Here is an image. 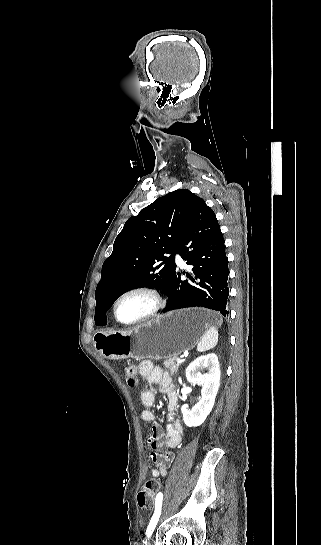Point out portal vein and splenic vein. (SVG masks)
<instances>
[{"mask_svg": "<svg viewBox=\"0 0 321 545\" xmlns=\"http://www.w3.org/2000/svg\"><path fill=\"white\" fill-rule=\"evenodd\" d=\"M184 358V355H179V358H176V361H181Z\"/></svg>", "mask_w": 321, "mask_h": 545, "instance_id": "1", "label": "portal vein and splenic vein"}]
</instances>
